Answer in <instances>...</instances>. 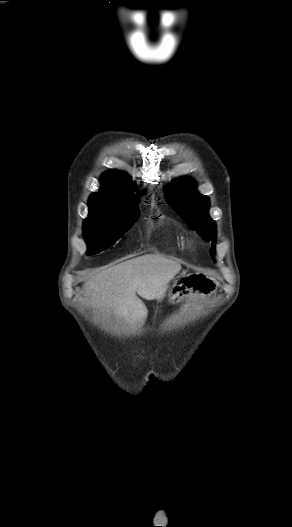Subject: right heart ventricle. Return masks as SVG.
I'll use <instances>...</instances> for the list:
<instances>
[{
  "label": "right heart ventricle",
  "mask_w": 292,
  "mask_h": 527,
  "mask_svg": "<svg viewBox=\"0 0 292 527\" xmlns=\"http://www.w3.org/2000/svg\"><path fill=\"white\" fill-rule=\"evenodd\" d=\"M176 244H177L178 246H183V241H182V239L177 238V240H176Z\"/></svg>",
  "instance_id": "e07e8e85"
}]
</instances>
